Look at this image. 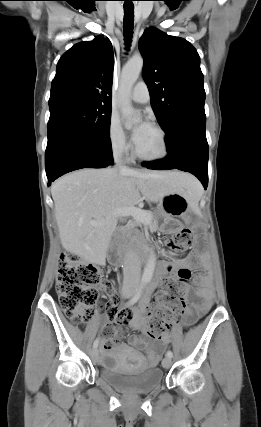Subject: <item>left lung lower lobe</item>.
<instances>
[{
  "mask_svg": "<svg viewBox=\"0 0 261 427\" xmlns=\"http://www.w3.org/2000/svg\"><path fill=\"white\" fill-rule=\"evenodd\" d=\"M205 113L186 112L164 130L168 155L164 159L143 162L142 165L155 170L179 169L195 175L208 185V143L205 135Z\"/></svg>",
  "mask_w": 261,
  "mask_h": 427,
  "instance_id": "1",
  "label": "left lung lower lobe"
}]
</instances>
